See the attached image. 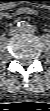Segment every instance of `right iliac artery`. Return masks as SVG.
<instances>
[{
	"instance_id": "82829eb1",
	"label": "right iliac artery",
	"mask_w": 50,
	"mask_h": 111,
	"mask_svg": "<svg viewBox=\"0 0 50 111\" xmlns=\"http://www.w3.org/2000/svg\"><path fill=\"white\" fill-rule=\"evenodd\" d=\"M17 26L20 28V29H27L28 28V24L25 22V21H21V22H18Z\"/></svg>"
}]
</instances>
